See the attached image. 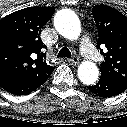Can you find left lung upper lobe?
Segmentation results:
<instances>
[{
  "label": "left lung upper lobe",
  "mask_w": 127,
  "mask_h": 127,
  "mask_svg": "<svg viewBox=\"0 0 127 127\" xmlns=\"http://www.w3.org/2000/svg\"><path fill=\"white\" fill-rule=\"evenodd\" d=\"M92 14L99 33L97 47L105 60L100 65L101 74L127 83V17L102 4L94 6Z\"/></svg>",
  "instance_id": "left-lung-upper-lobe-1"
}]
</instances>
